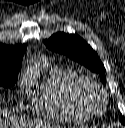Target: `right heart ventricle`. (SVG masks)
<instances>
[{"mask_svg": "<svg viewBox=\"0 0 125 128\" xmlns=\"http://www.w3.org/2000/svg\"><path fill=\"white\" fill-rule=\"evenodd\" d=\"M80 76L71 70L54 66L32 101L33 111L43 117L68 123H81L90 116L79 105L75 84Z\"/></svg>", "mask_w": 125, "mask_h": 128, "instance_id": "e07e8e85", "label": "right heart ventricle"}]
</instances>
